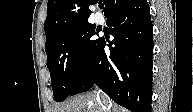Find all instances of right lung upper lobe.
<instances>
[{
    "label": "right lung upper lobe",
    "instance_id": "right-lung-upper-lobe-1",
    "mask_svg": "<svg viewBox=\"0 0 193 112\" xmlns=\"http://www.w3.org/2000/svg\"><path fill=\"white\" fill-rule=\"evenodd\" d=\"M129 1L103 0L105 17L108 19ZM97 2L98 0H48L47 18L44 26L46 42L67 28L89 24L88 18L91 14L89 6Z\"/></svg>",
    "mask_w": 193,
    "mask_h": 112
}]
</instances>
